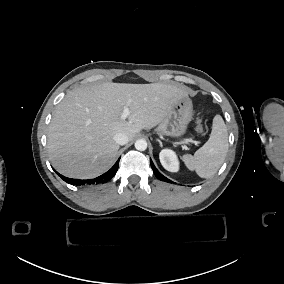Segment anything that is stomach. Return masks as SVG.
<instances>
[{"instance_id":"0dacf381","label":"stomach","mask_w":284,"mask_h":284,"mask_svg":"<svg viewBox=\"0 0 284 284\" xmlns=\"http://www.w3.org/2000/svg\"><path fill=\"white\" fill-rule=\"evenodd\" d=\"M193 119V111L189 98L181 101L155 129L157 134L172 138H183L188 130V125Z\"/></svg>"}]
</instances>
